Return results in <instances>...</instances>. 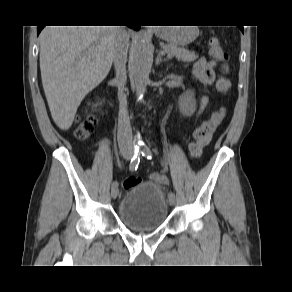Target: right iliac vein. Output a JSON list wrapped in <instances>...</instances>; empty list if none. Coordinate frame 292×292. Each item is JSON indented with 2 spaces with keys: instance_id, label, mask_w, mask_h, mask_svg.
<instances>
[{
  "instance_id": "right-iliac-vein-1",
  "label": "right iliac vein",
  "mask_w": 292,
  "mask_h": 292,
  "mask_svg": "<svg viewBox=\"0 0 292 292\" xmlns=\"http://www.w3.org/2000/svg\"><path fill=\"white\" fill-rule=\"evenodd\" d=\"M124 158L127 159V160H129L131 158V155L130 154H124ZM118 193H119V191H118L117 188H112V190H111V196H112L113 199H116L117 198Z\"/></svg>"
}]
</instances>
